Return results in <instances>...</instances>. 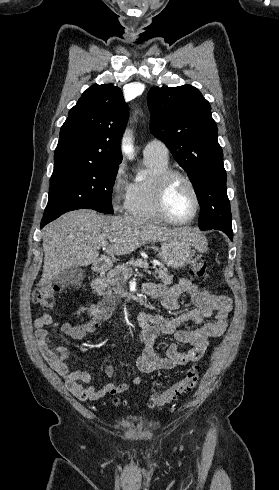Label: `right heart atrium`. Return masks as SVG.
<instances>
[{
    "mask_svg": "<svg viewBox=\"0 0 279 490\" xmlns=\"http://www.w3.org/2000/svg\"><path fill=\"white\" fill-rule=\"evenodd\" d=\"M132 191V183L128 180L125 167L119 164L115 169L110 183V201L116 213L127 211Z\"/></svg>",
    "mask_w": 279,
    "mask_h": 490,
    "instance_id": "1",
    "label": "right heart atrium"
}]
</instances>
